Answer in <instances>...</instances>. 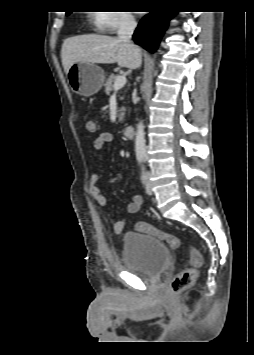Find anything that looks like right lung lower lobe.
Instances as JSON below:
<instances>
[{
	"instance_id": "right-lung-lower-lobe-1",
	"label": "right lung lower lobe",
	"mask_w": 254,
	"mask_h": 355,
	"mask_svg": "<svg viewBox=\"0 0 254 355\" xmlns=\"http://www.w3.org/2000/svg\"><path fill=\"white\" fill-rule=\"evenodd\" d=\"M176 12L169 10H157L150 12L139 23L136 28L133 40L148 51H155L167 29L169 20Z\"/></svg>"
}]
</instances>
